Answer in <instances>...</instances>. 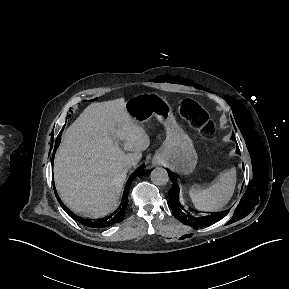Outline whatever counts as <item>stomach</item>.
<instances>
[{
    "label": "stomach",
    "mask_w": 289,
    "mask_h": 289,
    "mask_svg": "<svg viewBox=\"0 0 289 289\" xmlns=\"http://www.w3.org/2000/svg\"><path fill=\"white\" fill-rule=\"evenodd\" d=\"M127 112L138 119L156 117L166 129V142L163 155L178 172L190 174L197 164V153L188 134L176 122L169 103L152 94L137 95L125 103Z\"/></svg>",
    "instance_id": "0dacf381"
}]
</instances>
